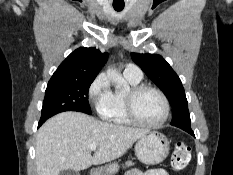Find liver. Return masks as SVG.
<instances>
[{"label":"liver","mask_w":233,"mask_h":175,"mask_svg":"<svg viewBox=\"0 0 233 175\" xmlns=\"http://www.w3.org/2000/svg\"><path fill=\"white\" fill-rule=\"evenodd\" d=\"M149 131L102 122L80 112H63L38 130L36 166L38 175L80 171L121 157ZM97 145L94 155L88 147Z\"/></svg>","instance_id":"obj_1"}]
</instances>
